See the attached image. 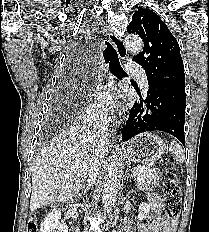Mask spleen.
I'll use <instances>...</instances> for the list:
<instances>
[{
	"mask_svg": "<svg viewBox=\"0 0 209 232\" xmlns=\"http://www.w3.org/2000/svg\"><path fill=\"white\" fill-rule=\"evenodd\" d=\"M169 150L173 154V157L176 160V162H178V163L184 162L185 154H184L182 147L179 145V143L172 141L170 143Z\"/></svg>",
	"mask_w": 209,
	"mask_h": 232,
	"instance_id": "3e777b00",
	"label": "spleen"
}]
</instances>
